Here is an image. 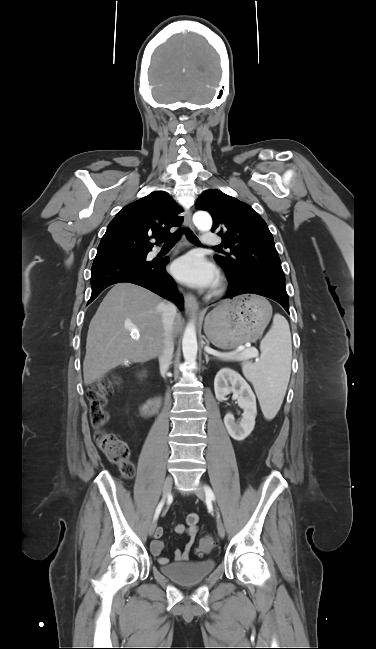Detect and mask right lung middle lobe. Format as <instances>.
<instances>
[{"label":"right lung middle lobe","instance_id":"right-lung-middle-lobe-1","mask_svg":"<svg viewBox=\"0 0 376 649\" xmlns=\"http://www.w3.org/2000/svg\"><path fill=\"white\" fill-rule=\"evenodd\" d=\"M147 253L148 252H124V253L96 255L94 262L102 261L109 258H126V259L146 258Z\"/></svg>","mask_w":376,"mask_h":649}]
</instances>
